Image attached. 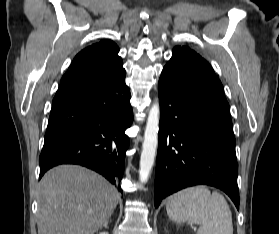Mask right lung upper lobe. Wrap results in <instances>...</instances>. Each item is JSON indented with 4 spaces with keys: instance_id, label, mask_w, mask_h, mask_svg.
<instances>
[{
    "instance_id": "obj_1",
    "label": "right lung upper lobe",
    "mask_w": 279,
    "mask_h": 234,
    "mask_svg": "<svg viewBox=\"0 0 279 234\" xmlns=\"http://www.w3.org/2000/svg\"><path fill=\"white\" fill-rule=\"evenodd\" d=\"M119 47L110 40H101L79 52L61 79L55 95L81 90L105 81L122 70Z\"/></svg>"
}]
</instances>
